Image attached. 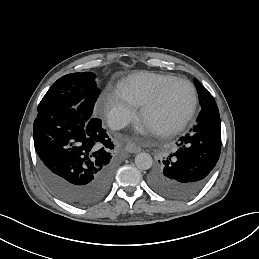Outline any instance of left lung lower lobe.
I'll return each instance as SVG.
<instances>
[{
	"label": "left lung lower lobe",
	"instance_id": "obj_1",
	"mask_svg": "<svg viewBox=\"0 0 259 259\" xmlns=\"http://www.w3.org/2000/svg\"><path fill=\"white\" fill-rule=\"evenodd\" d=\"M171 154L149 175L151 188L166 197L186 199L207 183L221 151V124L217 105L201 109L196 125L176 143Z\"/></svg>",
	"mask_w": 259,
	"mask_h": 259
}]
</instances>
